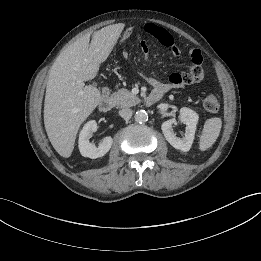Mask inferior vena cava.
Returning a JSON list of instances; mask_svg holds the SVG:
<instances>
[{
	"instance_id": "1",
	"label": "inferior vena cava",
	"mask_w": 261,
	"mask_h": 261,
	"mask_svg": "<svg viewBox=\"0 0 261 261\" xmlns=\"http://www.w3.org/2000/svg\"><path fill=\"white\" fill-rule=\"evenodd\" d=\"M119 115L125 120H128L132 116V110L129 108L122 109L119 111Z\"/></svg>"
}]
</instances>
